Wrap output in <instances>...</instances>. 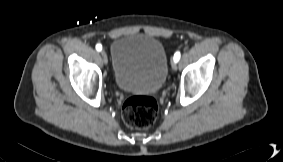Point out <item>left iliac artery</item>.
I'll use <instances>...</instances> for the list:
<instances>
[{"label": "left iliac artery", "instance_id": "1", "mask_svg": "<svg viewBox=\"0 0 283 162\" xmlns=\"http://www.w3.org/2000/svg\"><path fill=\"white\" fill-rule=\"evenodd\" d=\"M180 56H181V55H180V52H179V51H177V52L174 54V58H173V59H174V61H175V62H178V61H179V59H180Z\"/></svg>", "mask_w": 283, "mask_h": 162}]
</instances>
